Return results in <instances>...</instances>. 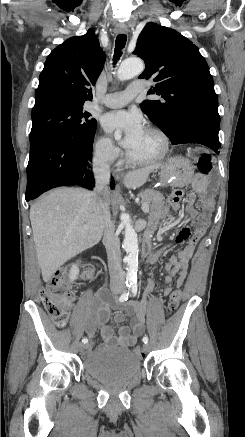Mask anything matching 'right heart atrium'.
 <instances>
[{
	"label": "right heart atrium",
	"mask_w": 245,
	"mask_h": 437,
	"mask_svg": "<svg viewBox=\"0 0 245 437\" xmlns=\"http://www.w3.org/2000/svg\"><path fill=\"white\" fill-rule=\"evenodd\" d=\"M119 156L120 151L110 138L104 135L95 137L93 141V158L96 164L108 167L116 162Z\"/></svg>",
	"instance_id": "1"
}]
</instances>
